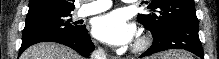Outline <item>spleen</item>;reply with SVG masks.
<instances>
[{"label": "spleen", "mask_w": 219, "mask_h": 59, "mask_svg": "<svg viewBox=\"0 0 219 59\" xmlns=\"http://www.w3.org/2000/svg\"><path fill=\"white\" fill-rule=\"evenodd\" d=\"M169 58H172V59H191V57L185 52H181L180 54L170 55Z\"/></svg>", "instance_id": "spleen-1"}]
</instances>
